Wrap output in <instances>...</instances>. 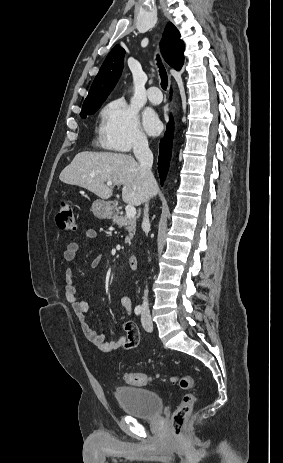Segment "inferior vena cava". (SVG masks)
I'll list each match as a JSON object with an SVG mask.
<instances>
[{"label": "inferior vena cava", "mask_w": 283, "mask_h": 463, "mask_svg": "<svg viewBox=\"0 0 283 463\" xmlns=\"http://www.w3.org/2000/svg\"><path fill=\"white\" fill-rule=\"evenodd\" d=\"M133 152L136 159L139 162L141 172L144 179V186L146 189V200L144 208V217L142 221V229L146 231L150 227L149 215H148V200L151 197V189L155 183V178L152 173V164H153V154L149 148L148 141L146 137H137L133 144ZM148 290L144 291L143 297V310H148Z\"/></svg>", "instance_id": "inferior-vena-cava-1"}]
</instances>
